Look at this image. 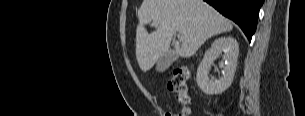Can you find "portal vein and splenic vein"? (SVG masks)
<instances>
[{
    "label": "portal vein and splenic vein",
    "mask_w": 305,
    "mask_h": 116,
    "mask_svg": "<svg viewBox=\"0 0 305 116\" xmlns=\"http://www.w3.org/2000/svg\"><path fill=\"white\" fill-rule=\"evenodd\" d=\"M178 38H179V39L182 38V35H181V34H178Z\"/></svg>",
    "instance_id": "18ae733b"
}]
</instances>
